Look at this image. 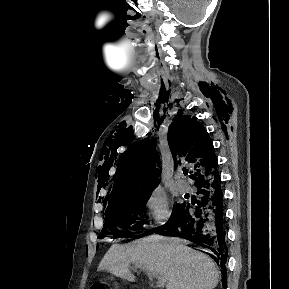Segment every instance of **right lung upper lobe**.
Returning a JSON list of instances; mask_svg holds the SVG:
<instances>
[{
  "instance_id": "obj_1",
  "label": "right lung upper lobe",
  "mask_w": 289,
  "mask_h": 289,
  "mask_svg": "<svg viewBox=\"0 0 289 289\" xmlns=\"http://www.w3.org/2000/svg\"><path fill=\"white\" fill-rule=\"evenodd\" d=\"M168 143L176 161L177 156H185L186 161L194 165L190 177L195 181L217 168V159L208 133L193 116L182 111L170 125ZM116 173L113 190L108 196V206L133 195L152 192L159 180L160 158L151 141L134 144L122 160V166Z\"/></svg>"
}]
</instances>
